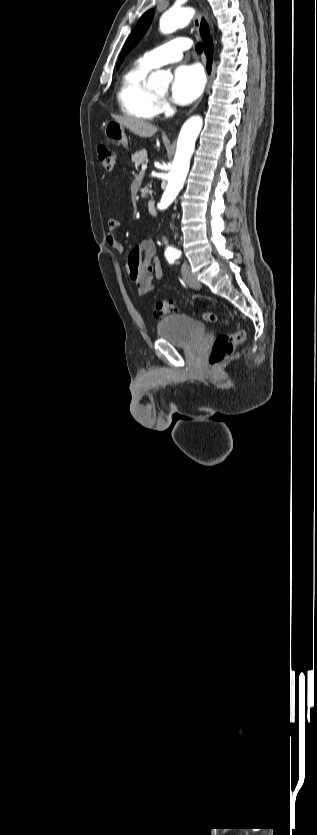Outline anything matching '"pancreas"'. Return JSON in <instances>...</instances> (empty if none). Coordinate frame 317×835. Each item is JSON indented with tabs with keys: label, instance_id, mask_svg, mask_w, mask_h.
<instances>
[{
	"label": "pancreas",
	"instance_id": "cf45deb5",
	"mask_svg": "<svg viewBox=\"0 0 317 835\" xmlns=\"http://www.w3.org/2000/svg\"><path fill=\"white\" fill-rule=\"evenodd\" d=\"M131 160H132V163L134 164L135 168L138 169L140 164H144L145 162H147V160H148L147 159V151L145 149H143L139 152L134 153L131 156ZM146 193H147V190L146 189L143 190L142 191V197H145Z\"/></svg>",
	"mask_w": 317,
	"mask_h": 835
}]
</instances>
